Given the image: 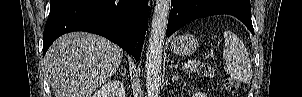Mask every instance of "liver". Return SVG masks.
Returning <instances> with one entry per match:
<instances>
[{
  "mask_svg": "<svg viewBox=\"0 0 302 97\" xmlns=\"http://www.w3.org/2000/svg\"><path fill=\"white\" fill-rule=\"evenodd\" d=\"M123 50L111 41L84 32L59 37L44 65L55 97H90L117 71Z\"/></svg>",
  "mask_w": 302,
  "mask_h": 97,
  "instance_id": "1",
  "label": "liver"
}]
</instances>
